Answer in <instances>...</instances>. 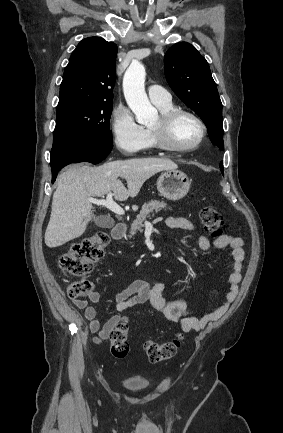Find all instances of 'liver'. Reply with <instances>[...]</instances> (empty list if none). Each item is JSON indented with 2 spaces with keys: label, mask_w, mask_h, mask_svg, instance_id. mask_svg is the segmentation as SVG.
<instances>
[{
  "label": "liver",
  "mask_w": 283,
  "mask_h": 433,
  "mask_svg": "<svg viewBox=\"0 0 283 433\" xmlns=\"http://www.w3.org/2000/svg\"><path fill=\"white\" fill-rule=\"evenodd\" d=\"M175 168L178 164L170 158H128L110 160L101 166H70L57 178L44 237L47 247H61L85 233L87 225L96 219L88 198L104 196L112 190L115 200H127L129 196H137L152 174ZM118 176L125 178L127 188Z\"/></svg>",
  "instance_id": "liver-1"
}]
</instances>
